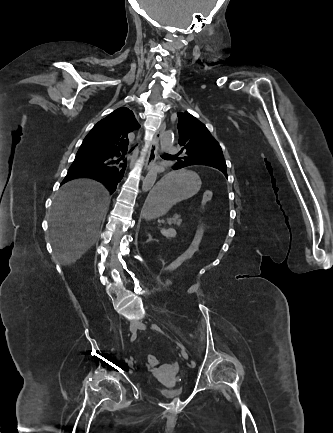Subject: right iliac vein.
Masks as SVG:
<instances>
[{
  "label": "right iliac vein",
  "instance_id": "obj_1",
  "mask_svg": "<svg viewBox=\"0 0 333 433\" xmlns=\"http://www.w3.org/2000/svg\"><path fill=\"white\" fill-rule=\"evenodd\" d=\"M130 331H131L132 333L136 332V326H135L134 323H131V324H130ZM129 366H130V367L133 366V362H132V361L129 362Z\"/></svg>",
  "mask_w": 333,
  "mask_h": 433
}]
</instances>
